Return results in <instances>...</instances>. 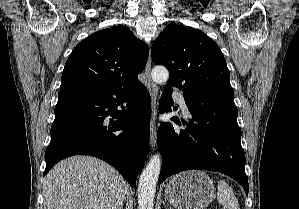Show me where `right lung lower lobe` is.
Instances as JSON below:
<instances>
[{
	"mask_svg": "<svg viewBox=\"0 0 299 209\" xmlns=\"http://www.w3.org/2000/svg\"><path fill=\"white\" fill-rule=\"evenodd\" d=\"M54 113L43 176L62 159L83 154L108 162L136 186L150 135L151 97L143 84L61 92Z\"/></svg>",
	"mask_w": 299,
	"mask_h": 209,
	"instance_id": "98d812e1",
	"label": "right lung lower lobe"
}]
</instances>
